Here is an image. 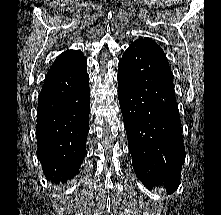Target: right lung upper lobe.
Masks as SVG:
<instances>
[{"instance_id": "obj_1", "label": "right lung upper lobe", "mask_w": 221, "mask_h": 215, "mask_svg": "<svg viewBox=\"0 0 221 215\" xmlns=\"http://www.w3.org/2000/svg\"><path fill=\"white\" fill-rule=\"evenodd\" d=\"M83 54L78 50H67L60 54L50 67L47 74L56 72L81 59Z\"/></svg>"}]
</instances>
